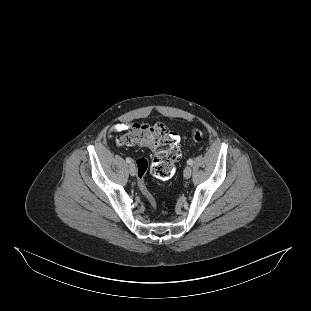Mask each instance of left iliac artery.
<instances>
[{
    "label": "left iliac artery",
    "instance_id": "44dca946",
    "mask_svg": "<svg viewBox=\"0 0 311 311\" xmlns=\"http://www.w3.org/2000/svg\"><path fill=\"white\" fill-rule=\"evenodd\" d=\"M187 164H188V165H192V164H193V160H192V159H188V160H187Z\"/></svg>",
    "mask_w": 311,
    "mask_h": 311
}]
</instances>
